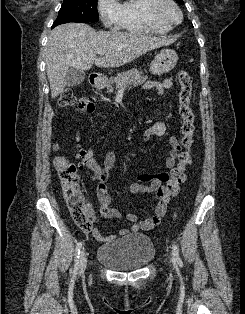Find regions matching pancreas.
Instances as JSON below:
<instances>
[{"mask_svg":"<svg viewBox=\"0 0 245 314\" xmlns=\"http://www.w3.org/2000/svg\"><path fill=\"white\" fill-rule=\"evenodd\" d=\"M142 71H139L136 68H133L129 71L119 73L116 77L109 79L107 85V93H113L114 88L113 84L116 85V88H123L129 85L137 86L141 85L146 81V77L142 75Z\"/></svg>","mask_w":245,"mask_h":314,"instance_id":"1","label":"pancreas"}]
</instances>
